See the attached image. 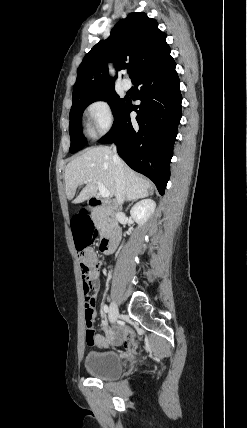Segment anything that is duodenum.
<instances>
[{"label":"duodenum","instance_id":"obj_1","mask_svg":"<svg viewBox=\"0 0 247 428\" xmlns=\"http://www.w3.org/2000/svg\"><path fill=\"white\" fill-rule=\"evenodd\" d=\"M93 207H103L111 210V204L103 199L93 197L89 201ZM121 229L117 225H113L101 239L99 248L102 252H110L116 249L120 243Z\"/></svg>","mask_w":247,"mask_h":428}]
</instances>
